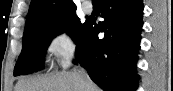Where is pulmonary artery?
Returning <instances> with one entry per match:
<instances>
[{"label": "pulmonary artery", "instance_id": "obj_1", "mask_svg": "<svg viewBox=\"0 0 173 91\" xmlns=\"http://www.w3.org/2000/svg\"><path fill=\"white\" fill-rule=\"evenodd\" d=\"M83 10H84V12H86V13H91V12H92V6H91L90 4H88V3H85V4L83 5Z\"/></svg>", "mask_w": 173, "mask_h": 91}]
</instances>
